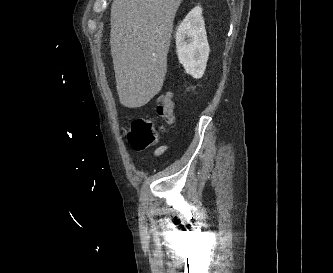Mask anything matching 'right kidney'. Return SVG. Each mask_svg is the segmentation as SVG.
Instances as JSON below:
<instances>
[{
  "mask_svg": "<svg viewBox=\"0 0 333 273\" xmlns=\"http://www.w3.org/2000/svg\"><path fill=\"white\" fill-rule=\"evenodd\" d=\"M176 49L179 62L187 74L194 78H201L206 69L209 56V44L202 9L193 8L176 32Z\"/></svg>",
  "mask_w": 333,
  "mask_h": 273,
  "instance_id": "ca27d5eb",
  "label": "right kidney"
}]
</instances>
